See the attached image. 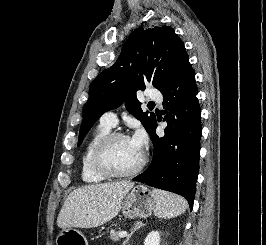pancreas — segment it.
Listing matches in <instances>:
<instances>
[{
  "label": "pancreas",
  "mask_w": 266,
  "mask_h": 245,
  "mask_svg": "<svg viewBox=\"0 0 266 245\" xmlns=\"http://www.w3.org/2000/svg\"><path fill=\"white\" fill-rule=\"evenodd\" d=\"M119 233H121V231H110V239L111 241H120V239H122V237H119Z\"/></svg>",
  "instance_id": "cf45deb5"
}]
</instances>
